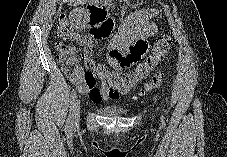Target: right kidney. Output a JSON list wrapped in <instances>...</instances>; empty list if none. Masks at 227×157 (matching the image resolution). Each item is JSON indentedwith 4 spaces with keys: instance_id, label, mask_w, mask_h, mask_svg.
Returning a JSON list of instances; mask_svg holds the SVG:
<instances>
[{
    "instance_id": "1",
    "label": "right kidney",
    "mask_w": 227,
    "mask_h": 157,
    "mask_svg": "<svg viewBox=\"0 0 227 157\" xmlns=\"http://www.w3.org/2000/svg\"><path fill=\"white\" fill-rule=\"evenodd\" d=\"M84 10L80 9V8H76L73 10V12L71 13V17H78L79 15L83 14Z\"/></svg>"
}]
</instances>
